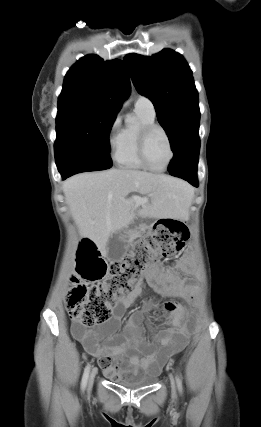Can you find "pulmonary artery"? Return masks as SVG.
<instances>
[{
	"instance_id": "e3ab8cb5",
	"label": "pulmonary artery",
	"mask_w": 261,
	"mask_h": 427,
	"mask_svg": "<svg viewBox=\"0 0 261 427\" xmlns=\"http://www.w3.org/2000/svg\"><path fill=\"white\" fill-rule=\"evenodd\" d=\"M135 109L144 111L150 116H155V107L152 101L145 96H138L135 101Z\"/></svg>"
}]
</instances>
